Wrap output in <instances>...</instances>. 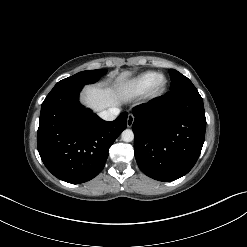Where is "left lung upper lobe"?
I'll return each instance as SVG.
<instances>
[{
	"mask_svg": "<svg viewBox=\"0 0 247 247\" xmlns=\"http://www.w3.org/2000/svg\"><path fill=\"white\" fill-rule=\"evenodd\" d=\"M169 73L171 75V91H186V90H197L192 82L174 69H170Z\"/></svg>",
	"mask_w": 247,
	"mask_h": 247,
	"instance_id": "obj_1",
	"label": "left lung upper lobe"
}]
</instances>
